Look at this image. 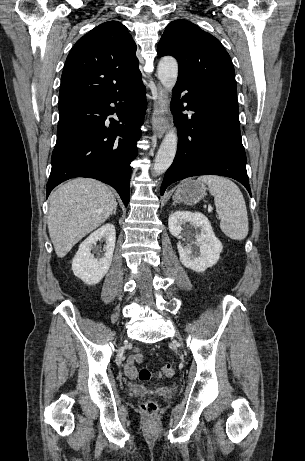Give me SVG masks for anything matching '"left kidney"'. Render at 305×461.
Instances as JSON below:
<instances>
[{
	"mask_svg": "<svg viewBox=\"0 0 305 461\" xmlns=\"http://www.w3.org/2000/svg\"><path fill=\"white\" fill-rule=\"evenodd\" d=\"M169 231L173 236L181 237V234H190V229H195V244L199 255L194 254L191 246L177 243L181 263L196 272H204L214 266L222 252V243L215 236L211 223L200 212L176 211L169 216Z\"/></svg>",
	"mask_w": 305,
	"mask_h": 461,
	"instance_id": "5707ae66",
	"label": "left kidney"
}]
</instances>
